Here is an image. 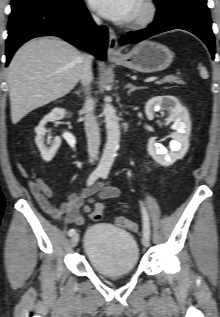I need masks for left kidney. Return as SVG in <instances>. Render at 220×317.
<instances>
[{"mask_svg": "<svg viewBox=\"0 0 220 317\" xmlns=\"http://www.w3.org/2000/svg\"><path fill=\"white\" fill-rule=\"evenodd\" d=\"M161 108L170 109L169 120L173 122L172 129L176 131L171 134L173 139L170 142L171 152L157 143L154 137L149 139L147 150L157 163L162 166H169L186 154L189 148L191 122L187 109L181 105L176 97L170 95L156 96L148 100L145 105L147 118L153 120L155 112Z\"/></svg>", "mask_w": 220, "mask_h": 317, "instance_id": "1", "label": "left kidney"}]
</instances>
